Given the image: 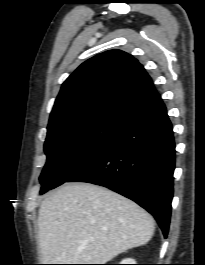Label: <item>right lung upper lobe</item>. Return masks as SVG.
I'll use <instances>...</instances> for the list:
<instances>
[{"instance_id": "right-lung-upper-lobe-1", "label": "right lung upper lobe", "mask_w": 205, "mask_h": 265, "mask_svg": "<svg viewBox=\"0 0 205 265\" xmlns=\"http://www.w3.org/2000/svg\"><path fill=\"white\" fill-rule=\"evenodd\" d=\"M159 99L151 78L134 57L109 50L82 63L62 84L48 133L98 122L124 125Z\"/></svg>"}]
</instances>
